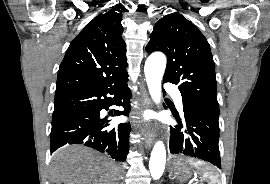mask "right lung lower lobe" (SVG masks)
Segmentation results:
<instances>
[{
	"label": "right lung lower lobe",
	"instance_id": "obj_1",
	"mask_svg": "<svg viewBox=\"0 0 270 184\" xmlns=\"http://www.w3.org/2000/svg\"><path fill=\"white\" fill-rule=\"evenodd\" d=\"M128 76L104 86L55 95L51 129V153L66 144H83L102 153H108L117 161H124L128 152L130 125L119 124L105 129L106 121L99 113L114 102L124 107L114 116L127 115L131 94L127 86ZM110 94L113 97H107Z\"/></svg>",
	"mask_w": 270,
	"mask_h": 184
}]
</instances>
